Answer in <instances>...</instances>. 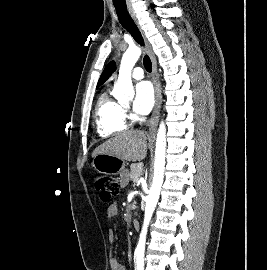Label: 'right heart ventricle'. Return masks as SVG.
<instances>
[{"label": "right heart ventricle", "mask_w": 267, "mask_h": 270, "mask_svg": "<svg viewBox=\"0 0 267 270\" xmlns=\"http://www.w3.org/2000/svg\"><path fill=\"white\" fill-rule=\"evenodd\" d=\"M97 133L108 138L128 128L122 105L113 99L107 91L100 94L95 108Z\"/></svg>", "instance_id": "e07e8e85"}]
</instances>
